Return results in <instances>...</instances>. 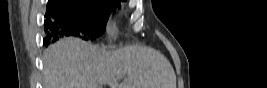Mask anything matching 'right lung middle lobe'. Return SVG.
Here are the masks:
<instances>
[{
  "label": "right lung middle lobe",
  "instance_id": "dd1d6c3e",
  "mask_svg": "<svg viewBox=\"0 0 267 88\" xmlns=\"http://www.w3.org/2000/svg\"><path fill=\"white\" fill-rule=\"evenodd\" d=\"M119 4L118 0H49L46 15L70 23L83 39H95L104 33L111 11Z\"/></svg>",
  "mask_w": 267,
  "mask_h": 88
}]
</instances>
